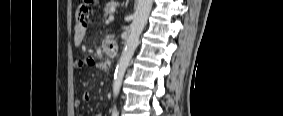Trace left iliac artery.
Returning a JSON list of instances; mask_svg holds the SVG:
<instances>
[{
    "label": "left iliac artery",
    "mask_w": 283,
    "mask_h": 116,
    "mask_svg": "<svg viewBox=\"0 0 283 116\" xmlns=\"http://www.w3.org/2000/svg\"><path fill=\"white\" fill-rule=\"evenodd\" d=\"M119 112L116 109V106H114L113 111H112V116H118Z\"/></svg>",
    "instance_id": "obj_1"
}]
</instances>
